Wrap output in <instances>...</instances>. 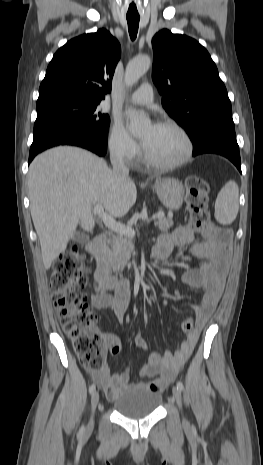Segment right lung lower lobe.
<instances>
[{"mask_svg": "<svg viewBox=\"0 0 263 465\" xmlns=\"http://www.w3.org/2000/svg\"><path fill=\"white\" fill-rule=\"evenodd\" d=\"M58 145L79 146L99 156H104L107 151V141L98 140L90 134L74 129H56L34 136L29 163L40 152Z\"/></svg>", "mask_w": 263, "mask_h": 465, "instance_id": "obj_1", "label": "right lung lower lobe"}]
</instances>
